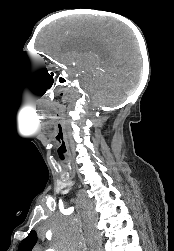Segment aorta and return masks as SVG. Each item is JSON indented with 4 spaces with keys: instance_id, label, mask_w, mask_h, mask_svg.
<instances>
[{
    "instance_id": "762f6f07",
    "label": "aorta",
    "mask_w": 174,
    "mask_h": 251,
    "mask_svg": "<svg viewBox=\"0 0 174 251\" xmlns=\"http://www.w3.org/2000/svg\"><path fill=\"white\" fill-rule=\"evenodd\" d=\"M47 251H55L54 249H48Z\"/></svg>"
}]
</instances>
